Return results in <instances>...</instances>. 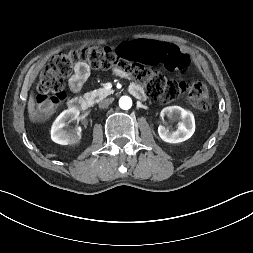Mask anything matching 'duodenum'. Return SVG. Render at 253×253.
<instances>
[{
    "mask_svg": "<svg viewBox=\"0 0 253 253\" xmlns=\"http://www.w3.org/2000/svg\"><path fill=\"white\" fill-rule=\"evenodd\" d=\"M131 93L139 98V99H143L144 98V92L143 90L138 87V86H134L131 87ZM93 104V100L90 97H73L70 101H69V107L72 110H76L79 112H86L88 111L91 106Z\"/></svg>",
    "mask_w": 253,
    "mask_h": 253,
    "instance_id": "1",
    "label": "duodenum"
}]
</instances>
